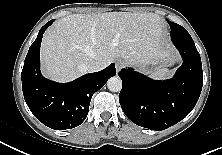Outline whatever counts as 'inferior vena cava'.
<instances>
[{"instance_id": "obj_1", "label": "inferior vena cava", "mask_w": 222, "mask_h": 155, "mask_svg": "<svg viewBox=\"0 0 222 155\" xmlns=\"http://www.w3.org/2000/svg\"><path fill=\"white\" fill-rule=\"evenodd\" d=\"M101 69H103V67L97 61H91L89 64L86 65L87 72H97Z\"/></svg>"}]
</instances>
